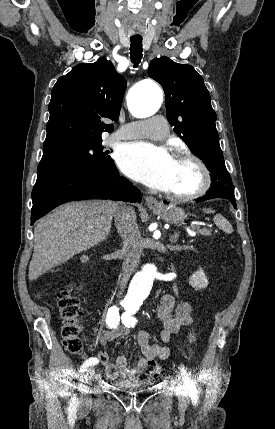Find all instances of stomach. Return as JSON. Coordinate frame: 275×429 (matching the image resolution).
Wrapping results in <instances>:
<instances>
[{
  "mask_svg": "<svg viewBox=\"0 0 275 429\" xmlns=\"http://www.w3.org/2000/svg\"><path fill=\"white\" fill-rule=\"evenodd\" d=\"M152 210L160 215L164 221L172 224H180L186 218L185 212L175 205H161L157 208H152Z\"/></svg>",
  "mask_w": 275,
  "mask_h": 429,
  "instance_id": "1",
  "label": "stomach"
}]
</instances>
